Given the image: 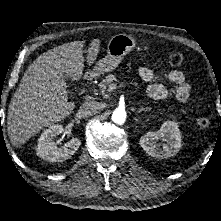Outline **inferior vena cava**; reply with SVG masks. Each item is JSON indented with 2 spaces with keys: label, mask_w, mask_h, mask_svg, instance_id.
Returning <instances> with one entry per match:
<instances>
[{
  "label": "inferior vena cava",
  "mask_w": 221,
  "mask_h": 221,
  "mask_svg": "<svg viewBox=\"0 0 221 221\" xmlns=\"http://www.w3.org/2000/svg\"><path fill=\"white\" fill-rule=\"evenodd\" d=\"M100 109H101V107H100V104L98 102L88 101V102L83 103L80 106L79 114L82 117L91 116L93 114L98 113L100 111Z\"/></svg>",
  "instance_id": "inferior-vena-cava-1"
}]
</instances>
